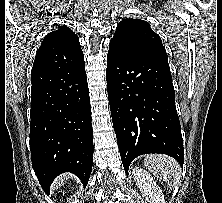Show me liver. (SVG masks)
Wrapping results in <instances>:
<instances>
[{"label":"liver","instance_id":"6515ba94","mask_svg":"<svg viewBox=\"0 0 222 203\" xmlns=\"http://www.w3.org/2000/svg\"><path fill=\"white\" fill-rule=\"evenodd\" d=\"M67 179H68V176H66V175H63V176L57 178L55 180V183L53 184L52 188L54 190H57L59 187H61L64 184V182H66Z\"/></svg>","mask_w":222,"mask_h":203}]
</instances>
